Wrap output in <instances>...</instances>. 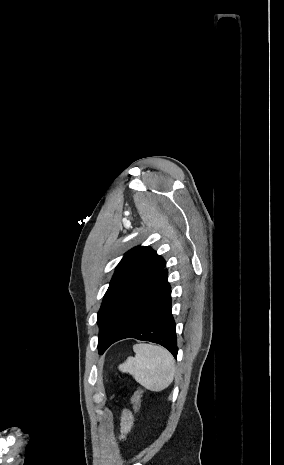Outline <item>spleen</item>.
Listing matches in <instances>:
<instances>
[{
    "mask_svg": "<svg viewBox=\"0 0 284 465\" xmlns=\"http://www.w3.org/2000/svg\"><path fill=\"white\" fill-rule=\"evenodd\" d=\"M135 357H128L119 365L121 373H129L148 391H164L171 385L175 375L174 359L163 347L156 345H134Z\"/></svg>",
    "mask_w": 284,
    "mask_h": 465,
    "instance_id": "3e777b00",
    "label": "spleen"
}]
</instances>
